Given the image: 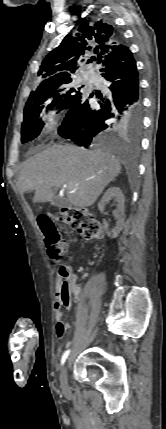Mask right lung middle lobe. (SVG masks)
Here are the masks:
<instances>
[{
	"label": "right lung middle lobe",
	"mask_w": 166,
	"mask_h": 429,
	"mask_svg": "<svg viewBox=\"0 0 166 429\" xmlns=\"http://www.w3.org/2000/svg\"><path fill=\"white\" fill-rule=\"evenodd\" d=\"M79 90L80 88L72 86V79L69 78L50 86H38L35 91H32L24 108L21 142L32 141L40 134L44 124L41 113L47 105V107L67 110L81 95Z\"/></svg>",
	"instance_id": "dd1d6c3e"
}]
</instances>
